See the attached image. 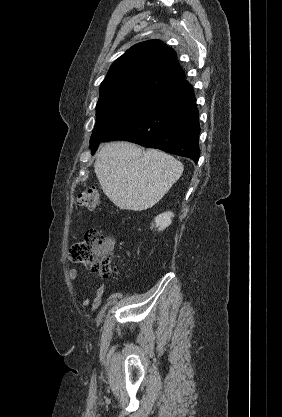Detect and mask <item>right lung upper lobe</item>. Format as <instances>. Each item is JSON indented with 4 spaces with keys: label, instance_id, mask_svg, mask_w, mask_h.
<instances>
[{
    "label": "right lung upper lobe",
    "instance_id": "1",
    "mask_svg": "<svg viewBox=\"0 0 282 417\" xmlns=\"http://www.w3.org/2000/svg\"><path fill=\"white\" fill-rule=\"evenodd\" d=\"M185 79L175 51L159 40L132 46L110 67L100 95L126 90L159 93Z\"/></svg>",
    "mask_w": 282,
    "mask_h": 417
}]
</instances>
